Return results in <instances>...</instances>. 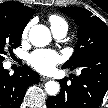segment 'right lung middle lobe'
<instances>
[{
	"mask_svg": "<svg viewBox=\"0 0 108 108\" xmlns=\"http://www.w3.org/2000/svg\"><path fill=\"white\" fill-rule=\"evenodd\" d=\"M26 23L18 15L15 9H0V61L5 55L20 46L21 36Z\"/></svg>",
	"mask_w": 108,
	"mask_h": 108,
	"instance_id": "1",
	"label": "right lung middle lobe"
}]
</instances>
